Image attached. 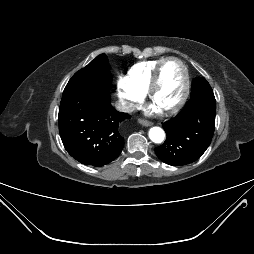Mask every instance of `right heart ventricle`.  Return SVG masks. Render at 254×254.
<instances>
[{
    "mask_svg": "<svg viewBox=\"0 0 254 254\" xmlns=\"http://www.w3.org/2000/svg\"><path fill=\"white\" fill-rule=\"evenodd\" d=\"M163 59L142 61L133 65L127 75L133 86L145 94L150 85L155 68Z\"/></svg>",
    "mask_w": 254,
    "mask_h": 254,
    "instance_id": "e07e8e85",
    "label": "right heart ventricle"
}]
</instances>
